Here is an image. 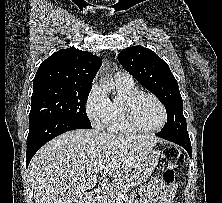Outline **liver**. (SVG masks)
Segmentation results:
<instances>
[{
	"mask_svg": "<svg viewBox=\"0 0 222 203\" xmlns=\"http://www.w3.org/2000/svg\"><path fill=\"white\" fill-rule=\"evenodd\" d=\"M160 141L152 135H114L77 129L46 143L32 158L35 203H84L103 178L123 180ZM99 166L104 168L95 173Z\"/></svg>",
	"mask_w": 222,
	"mask_h": 203,
	"instance_id": "1",
	"label": "liver"
}]
</instances>
